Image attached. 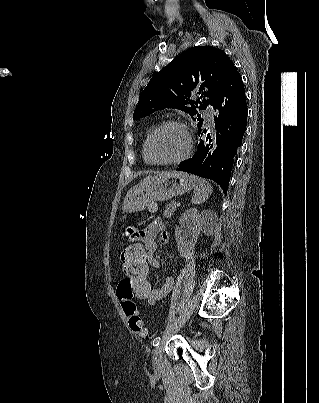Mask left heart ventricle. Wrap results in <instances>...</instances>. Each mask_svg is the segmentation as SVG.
Segmentation results:
<instances>
[{
	"label": "left heart ventricle",
	"instance_id": "obj_1",
	"mask_svg": "<svg viewBox=\"0 0 319 403\" xmlns=\"http://www.w3.org/2000/svg\"><path fill=\"white\" fill-rule=\"evenodd\" d=\"M184 131L177 126H166L157 132L151 144L152 156L157 160H171L185 151Z\"/></svg>",
	"mask_w": 319,
	"mask_h": 403
}]
</instances>
